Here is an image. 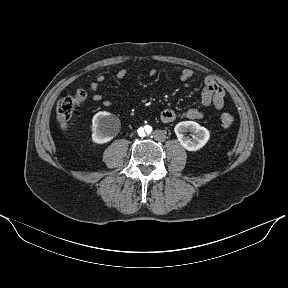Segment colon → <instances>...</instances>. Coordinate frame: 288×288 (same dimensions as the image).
<instances>
[{
    "label": "colon",
    "instance_id": "colon-1",
    "mask_svg": "<svg viewBox=\"0 0 288 288\" xmlns=\"http://www.w3.org/2000/svg\"><path fill=\"white\" fill-rule=\"evenodd\" d=\"M88 97V91L78 89L73 95H67L57 103L56 116L60 127L63 130L68 129L71 117L78 104L85 101ZM221 126L228 128L233 124V116L229 113H222L219 116Z\"/></svg>",
    "mask_w": 288,
    "mask_h": 288
}]
</instances>
